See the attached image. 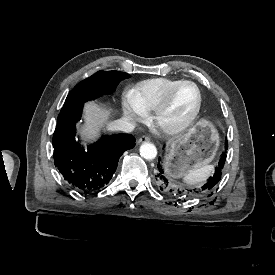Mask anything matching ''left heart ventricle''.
<instances>
[{"label": "left heart ventricle", "mask_w": 275, "mask_h": 275, "mask_svg": "<svg viewBox=\"0 0 275 275\" xmlns=\"http://www.w3.org/2000/svg\"><path fill=\"white\" fill-rule=\"evenodd\" d=\"M196 102L197 92L193 85L179 86L174 93L169 109L160 118L161 125H178L191 113Z\"/></svg>", "instance_id": "1"}]
</instances>
